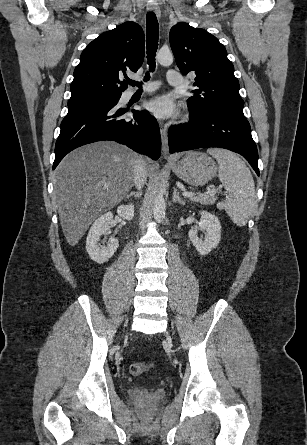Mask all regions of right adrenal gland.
<instances>
[{
	"instance_id": "2a0ac1e0",
	"label": "right adrenal gland",
	"mask_w": 307,
	"mask_h": 445,
	"mask_svg": "<svg viewBox=\"0 0 307 445\" xmlns=\"http://www.w3.org/2000/svg\"><path fill=\"white\" fill-rule=\"evenodd\" d=\"M130 196H135V198H140V196H142V192L139 188V190H137V192H135V190H132V192H130V194H126V198H130Z\"/></svg>"
}]
</instances>
